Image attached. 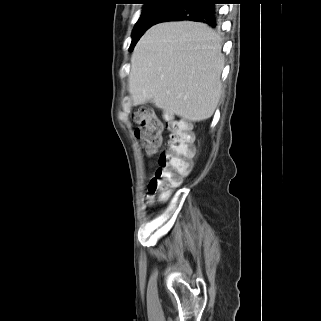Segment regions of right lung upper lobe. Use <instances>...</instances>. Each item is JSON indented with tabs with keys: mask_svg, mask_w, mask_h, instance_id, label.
<instances>
[{
	"mask_svg": "<svg viewBox=\"0 0 321 321\" xmlns=\"http://www.w3.org/2000/svg\"><path fill=\"white\" fill-rule=\"evenodd\" d=\"M143 1H145V3L144 4H146V3H148V2H151V1H155V0H143ZM173 1H175L176 2V4H181V3H183V2H185V1H187V0H173ZM175 4V5H176Z\"/></svg>",
	"mask_w": 321,
	"mask_h": 321,
	"instance_id": "obj_1",
	"label": "right lung upper lobe"
}]
</instances>
